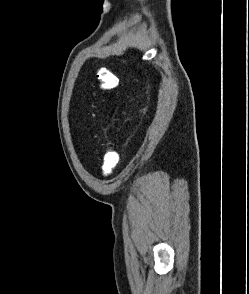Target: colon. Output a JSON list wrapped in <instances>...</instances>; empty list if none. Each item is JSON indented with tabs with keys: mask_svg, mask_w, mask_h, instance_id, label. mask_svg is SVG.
Here are the masks:
<instances>
[{
	"mask_svg": "<svg viewBox=\"0 0 249 294\" xmlns=\"http://www.w3.org/2000/svg\"><path fill=\"white\" fill-rule=\"evenodd\" d=\"M99 87L102 91H112L119 84V78L116 75H113L111 79L105 77V75L101 74L98 77ZM119 161V154L117 152H109L105 156L103 166H102V174L107 176L111 174V172L116 167Z\"/></svg>",
	"mask_w": 249,
	"mask_h": 294,
	"instance_id": "obj_1",
	"label": "colon"
}]
</instances>
